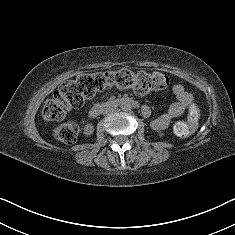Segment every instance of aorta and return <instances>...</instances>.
<instances>
[{"instance_id": "1", "label": "aorta", "mask_w": 235, "mask_h": 235, "mask_svg": "<svg viewBox=\"0 0 235 235\" xmlns=\"http://www.w3.org/2000/svg\"><path fill=\"white\" fill-rule=\"evenodd\" d=\"M122 109L126 111V110L129 109V106H128L127 104H123V105H122Z\"/></svg>"}]
</instances>
